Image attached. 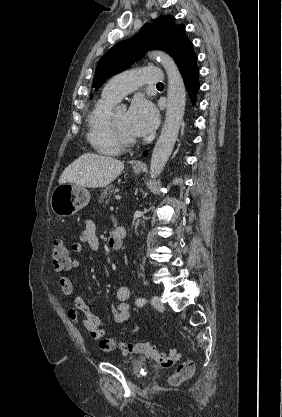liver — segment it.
I'll return each instance as SVG.
<instances>
[{
    "label": "liver",
    "mask_w": 282,
    "mask_h": 417,
    "mask_svg": "<svg viewBox=\"0 0 282 417\" xmlns=\"http://www.w3.org/2000/svg\"><path fill=\"white\" fill-rule=\"evenodd\" d=\"M124 168V162L113 156H100L94 152H84L79 158L73 160L63 170L59 184L62 182H74L79 186L99 188L113 182Z\"/></svg>",
    "instance_id": "1"
}]
</instances>
